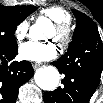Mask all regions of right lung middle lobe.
Listing matches in <instances>:
<instances>
[{"instance_id": "1", "label": "right lung middle lobe", "mask_w": 103, "mask_h": 103, "mask_svg": "<svg viewBox=\"0 0 103 103\" xmlns=\"http://www.w3.org/2000/svg\"><path fill=\"white\" fill-rule=\"evenodd\" d=\"M37 7L26 6L22 12H12L6 6L0 5V51L18 49L14 33L17 25L33 13Z\"/></svg>"}]
</instances>
